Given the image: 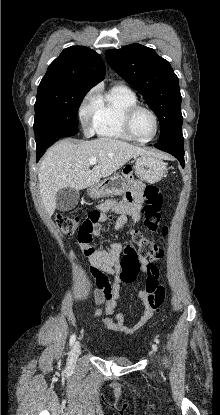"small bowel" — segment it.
I'll use <instances>...</instances> for the list:
<instances>
[{
	"label": "small bowel",
	"mask_w": 220,
	"mask_h": 415,
	"mask_svg": "<svg viewBox=\"0 0 220 415\" xmlns=\"http://www.w3.org/2000/svg\"><path fill=\"white\" fill-rule=\"evenodd\" d=\"M142 204V186L136 183L134 189L126 192L123 200L119 203L104 202L91 212L96 215V218L88 226L90 229V239H87L82 231H79L77 235V243L88 257L91 265L90 273L97 283L98 288L93 292L94 300L96 303L104 304V309H96L93 315L99 317L105 313L106 317L102 319L103 326L127 335H132L139 331L161 308H155L150 305L144 288L139 294L142 314L136 323L127 325L124 315L116 313L117 300L122 284L120 279V252L122 245L120 242H113L108 248L101 249L92 245V241L93 237L100 235L101 224L107 220L109 212L119 215L115 224V230L119 234L129 216L133 217L136 222L140 221ZM141 264L142 272L147 273L148 262L141 260ZM107 275L113 276L114 280L109 282Z\"/></svg>",
	"instance_id": "1"
}]
</instances>
